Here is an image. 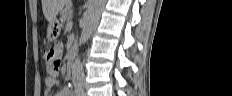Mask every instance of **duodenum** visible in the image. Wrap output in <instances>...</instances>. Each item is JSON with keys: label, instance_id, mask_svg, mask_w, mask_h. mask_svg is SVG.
<instances>
[{"label": "duodenum", "instance_id": "1", "mask_svg": "<svg viewBox=\"0 0 232 96\" xmlns=\"http://www.w3.org/2000/svg\"><path fill=\"white\" fill-rule=\"evenodd\" d=\"M76 54H77L76 48L71 49L69 52L68 60H67L66 67H65L66 77H69L73 72Z\"/></svg>", "mask_w": 232, "mask_h": 96}]
</instances>
